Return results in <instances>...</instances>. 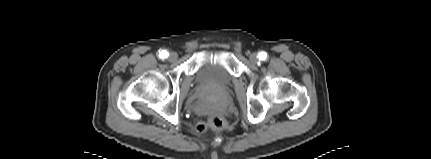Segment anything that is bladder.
Masks as SVG:
<instances>
[{
	"label": "bladder",
	"instance_id": "bladder-1",
	"mask_svg": "<svg viewBox=\"0 0 431 159\" xmlns=\"http://www.w3.org/2000/svg\"><path fill=\"white\" fill-rule=\"evenodd\" d=\"M197 85L207 91L222 93L232 85V75L222 57H208L202 61L195 73Z\"/></svg>",
	"mask_w": 431,
	"mask_h": 159
}]
</instances>
